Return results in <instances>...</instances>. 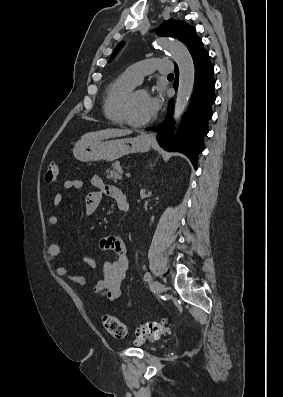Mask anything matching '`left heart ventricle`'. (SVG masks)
<instances>
[{
    "mask_svg": "<svg viewBox=\"0 0 283 397\" xmlns=\"http://www.w3.org/2000/svg\"><path fill=\"white\" fill-rule=\"evenodd\" d=\"M148 94L144 90H137L132 102V116L137 121H143L150 118L147 110Z\"/></svg>",
    "mask_w": 283,
    "mask_h": 397,
    "instance_id": "b2bd125f",
    "label": "left heart ventricle"
}]
</instances>
